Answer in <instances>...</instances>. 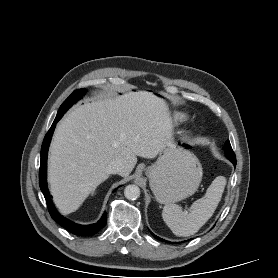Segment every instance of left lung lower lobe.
<instances>
[{
    "label": "left lung lower lobe",
    "mask_w": 278,
    "mask_h": 278,
    "mask_svg": "<svg viewBox=\"0 0 278 278\" xmlns=\"http://www.w3.org/2000/svg\"><path fill=\"white\" fill-rule=\"evenodd\" d=\"M231 161V160H230ZM234 165H236V161H231ZM153 236L155 237V238H157L158 240H161V241H164L165 242V240H163V239H161V238H159V237H157V236H155L154 234H153Z\"/></svg>",
    "instance_id": "1"
}]
</instances>
